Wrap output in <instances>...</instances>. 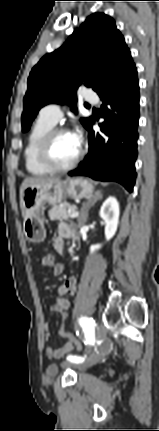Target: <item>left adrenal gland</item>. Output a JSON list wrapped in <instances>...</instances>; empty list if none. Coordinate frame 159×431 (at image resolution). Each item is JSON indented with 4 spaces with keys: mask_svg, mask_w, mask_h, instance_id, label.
Listing matches in <instances>:
<instances>
[{
    "mask_svg": "<svg viewBox=\"0 0 159 431\" xmlns=\"http://www.w3.org/2000/svg\"><path fill=\"white\" fill-rule=\"evenodd\" d=\"M102 194L100 191L95 192L94 196H92L91 198H89L88 202L83 204V207L81 209V216L79 217L78 221H79V226L83 225L87 218H88V212L90 210V208L92 206H94V204L102 199Z\"/></svg>",
    "mask_w": 159,
    "mask_h": 431,
    "instance_id": "a2214340",
    "label": "left adrenal gland"
}]
</instances>
